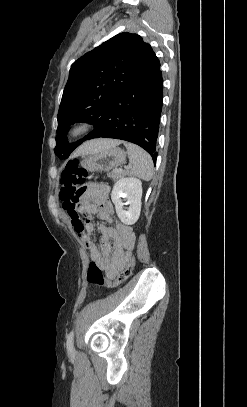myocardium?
Masks as SVG:
<instances>
[{"mask_svg": "<svg viewBox=\"0 0 247 407\" xmlns=\"http://www.w3.org/2000/svg\"><path fill=\"white\" fill-rule=\"evenodd\" d=\"M91 126L86 121H77L67 129L66 136L69 140H77L90 130Z\"/></svg>", "mask_w": 247, "mask_h": 407, "instance_id": "obj_1", "label": "myocardium"}]
</instances>
